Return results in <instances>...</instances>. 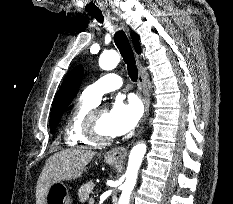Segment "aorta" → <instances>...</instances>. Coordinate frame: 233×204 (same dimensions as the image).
<instances>
[{
  "mask_svg": "<svg viewBox=\"0 0 233 204\" xmlns=\"http://www.w3.org/2000/svg\"><path fill=\"white\" fill-rule=\"evenodd\" d=\"M120 62V56L116 51L104 52L99 59V66L101 69L109 71L114 69ZM146 152V144H136L129 155L127 170L125 172V183L122 187V193L118 204H129L130 195L135 187L138 171L141 166L143 157Z\"/></svg>",
  "mask_w": 233,
  "mask_h": 204,
  "instance_id": "obj_1",
  "label": "aorta"
}]
</instances>
